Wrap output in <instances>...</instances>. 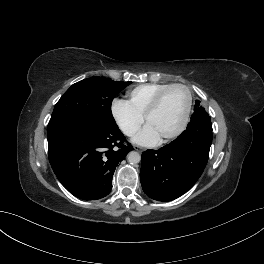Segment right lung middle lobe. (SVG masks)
<instances>
[{
    "mask_svg": "<svg viewBox=\"0 0 264 264\" xmlns=\"http://www.w3.org/2000/svg\"><path fill=\"white\" fill-rule=\"evenodd\" d=\"M131 83L91 77L73 84L55 105L47 136L72 125L116 124L112 100Z\"/></svg>",
    "mask_w": 264,
    "mask_h": 264,
    "instance_id": "right-lung-middle-lobe-1",
    "label": "right lung middle lobe"
}]
</instances>
